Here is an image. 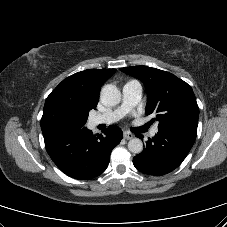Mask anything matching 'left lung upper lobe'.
Listing matches in <instances>:
<instances>
[{
  "instance_id": "obj_1",
  "label": "left lung upper lobe",
  "mask_w": 227,
  "mask_h": 227,
  "mask_svg": "<svg viewBox=\"0 0 227 227\" xmlns=\"http://www.w3.org/2000/svg\"><path fill=\"white\" fill-rule=\"evenodd\" d=\"M120 70L144 83L147 91L145 112L147 115H156L158 129L184 130L197 134L199 108L193 90L186 82L169 72L147 66Z\"/></svg>"
}]
</instances>
